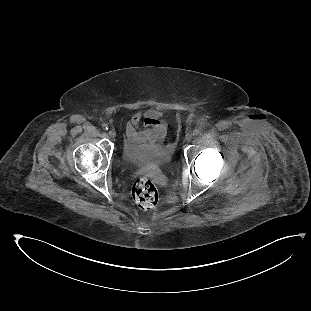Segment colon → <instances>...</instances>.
<instances>
[{
    "mask_svg": "<svg viewBox=\"0 0 311 311\" xmlns=\"http://www.w3.org/2000/svg\"><path fill=\"white\" fill-rule=\"evenodd\" d=\"M132 194L135 203L144 211L155 208L159 201V193L156 186L145 177H140L134 182Z\"/></svg>",
    "mask_w": 311,
    "mask_h": 311,
    "instance_id": "5ec220e1",
    "label": "colon"
}]
</instances>
